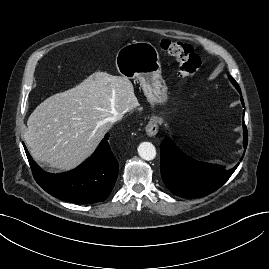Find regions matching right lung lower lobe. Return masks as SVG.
I'll return each mask as SVG.
<instances>
[{
    "instance_id": "1",
    "label": "right lung lower lobe",
    "mask_w": 269,
    "mask_h": 269,
    "mask_svg": "<svg viewBox=\"0 0 269 269\" xmlns=\"http://www.w3.org/2000/svg\"><path fill=\"white\" fill-rule=\"evenodd\" d=\"M109 134L96 151L77 168L67 173L43 171L24 149L36 182L52 196L73 203L100 202L109 196L118 175V162L108 143Z\"/></svg>"
}]
</instances>
